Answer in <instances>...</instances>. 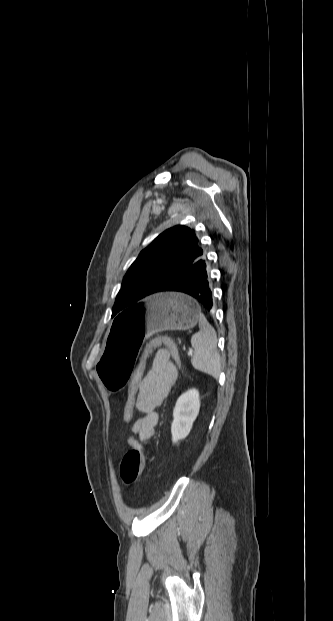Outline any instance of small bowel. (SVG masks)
I'll list each match as a JSON object with an SVG mask.
<instances>
[{"instance_id": "1", "label": "small bowel", "mask_w": 333, "mask_h": 621, "mask_svg": "<svg viewBox=\"0 0 333 621\" xmlns=\"http://www.w3.org/2000/svg\"><path fill=\"white\" fill-rule=\"evenodd\" d=\"M177 368L167 350H159L150 369L144 375L136 399V409L142 414L131 426L127 442L143 450L142 443H149L158 423L157 408L163 403L177 379Z\"/></svg>"}]
</instances>
